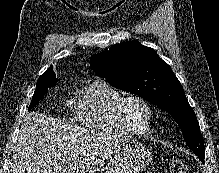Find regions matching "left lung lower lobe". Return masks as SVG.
Instances as JSON below:
<instances>
[{
  "label": "left lung lower lobe",
  "mask_w": 219,
  "mask_h": 173,
  "mask_svg": "<svg viewBox=\"0 0 219 173\" xmlns=\"http://www.w3.org/2000/svg\"><path fill=\"white\" fill-rule=\"evenodd\" d=\"M197 155V154H196ZM199 157V159L204 162V156L203 155H197Z\"/></svg>",
  "instance_id": "1"
}]
</instances>
